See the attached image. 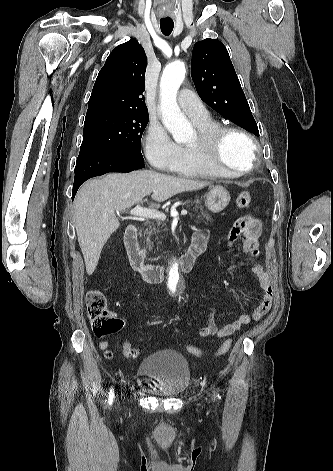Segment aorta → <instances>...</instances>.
Returning a JSON list of instances; mask_svg holds the SVG:
<instances>
[{
	"instance_id": "aorta-1",
	"label": "aorta",
	"mask_w": 333,
	"mask_h": 471,
	"mask_svg": "<svg viewBox=\"0 0 333 471\" xmlns=\"http://www.w3.org/2000/svg\"><path fill=\"white\" fill-rule=\"evenodd\" d=\"M185 72L184 63L176 61L164 68L160 80L162 122L177 143L187 142L193 133L191 124L181 112L176 100ZM179 281V266L177 262H173L169 272V283L176 286Z\"/></svg>"
}]
</instances>
